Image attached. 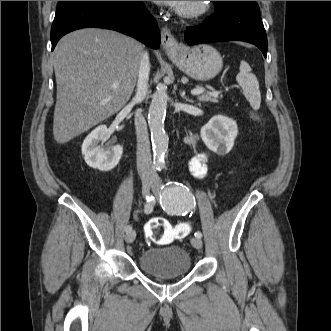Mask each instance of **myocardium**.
<instances>
[{"label": "myocardium", "instance_id": "f54148a6", "mask_svg": "<svg viewBox=\"0 0 331 331\" xmlns=\"http://www.w3.org/2000/svg\"><path fill=\"white\" fill-rule=\"evenodd\" d=\"M208 8L207 1H193L189 6H178L176 11L183 18H195L204 14Z\"/></svg>", "mask_w": 331, "mask_h": 331}]
</instances>
